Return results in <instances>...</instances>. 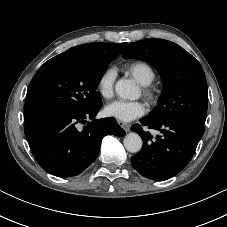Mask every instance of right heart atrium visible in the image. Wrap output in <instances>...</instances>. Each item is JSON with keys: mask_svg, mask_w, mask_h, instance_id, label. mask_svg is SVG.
Returning a JSON list of instances; mask_svg holds the SVG:
<instances>
[{"mask_svg": "<svg viewBox=\"0 0 227 227\" xmlns=\"http://www.w3.org/2000/svg\"><path fill=\"white\" fill-rule=\"evenodd\" d=\"M116 72L112 68L104 70L97 81V91L102 98L108 99L113 95Z\"/></svg>", "mask_w": 227, "mask_h": 227, "instance_id": "1", "label": "right heart atrium"}]
</instances>
